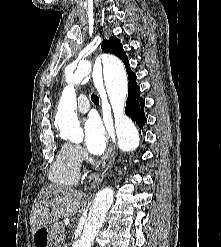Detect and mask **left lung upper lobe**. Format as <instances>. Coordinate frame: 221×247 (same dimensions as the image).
I'll use <instances>...</instances> for the list:
<instances>
[{"label":"left lung upper lobe","mask_w":221,"mask_h":247,"mask_svg":"<svg viewBox=\"0 0 221 247\" xmlns=\"http://www.w3.org/2000/svg\"><path fill=\"white\" fill-rule=\"evenodd\" d=\"M101 48L103 52L114 54L123 61V63L125 64L126 70H127L128 78L135 75L130 69V64L126 56V53L123 50V46L116 37L112 36L108 40L105 39L102 42Z\"/></svg>","instance_id":"1"}]
</instances>
